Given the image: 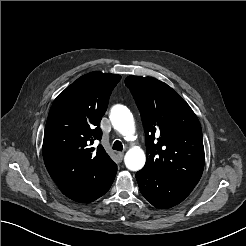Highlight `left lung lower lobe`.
Here are the masks:
<instances>
[{
    "label": "left lung lower lobe",
    "mask_w": 246,
    "mask_h": 246,
    "mask_svg": "<svg viewBox=\"0 0 246 246\" xmlns=\"http://www.w3.org/2000/svg\"><path fill=\"white\" fill-rule=\"evenodd\" d=\"M136 179L142 195L155 207L171 208L182 202L195 185L145 171H138Z\"/></svg>",
    "instance_id": "0a47b994"
}]
</instances>
